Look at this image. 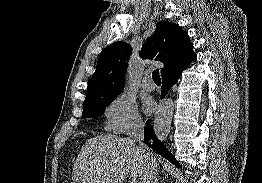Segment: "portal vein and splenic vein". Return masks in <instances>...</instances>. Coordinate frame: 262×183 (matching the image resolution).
Wrapping results in <instances>:
<instances>
[{
	"instance_id": "1",
	"label": "portal vein and splenic vein",
	"mask_w": 262,
	"mask_h": 183,
	"mask_svg": "<svg viewBox=\"0 0 262 183\" xmlns=\"http://www.w3.org/2000/svg\"><path fill=\"white\" fill-rule=\"evenodd\" d=\"M137 182H138V181H137L136 178H132L131 181H130V183H137Z\"/></svg>"
}]
</instances>
